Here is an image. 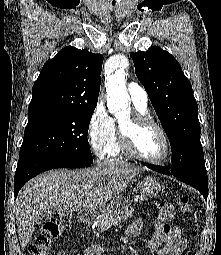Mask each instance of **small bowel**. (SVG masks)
I'll return each mask as SVG.
<instances>
[{"label": "small bowel", "mask_w": 221, "mask_h": 255, "mask_svg": "<svg viewBox=\"0 0 221 255\" xmlns=\"http://www.w3.org/2000/svg\"><path fill=\"white\" fill-rule=\"evenodd\" d=\"M142 229V221L136 219L131 222L125 235L128 237H137ZM148 247L153 255H183L187 247V241L180 233L178 227H170L167 230L160 231L156 228L154 233L148 239ZM106 247L102 244H93L88 246L83 255H104Z\"/></svg>", "instance_id": "c3829d8e"}]
</instances>
